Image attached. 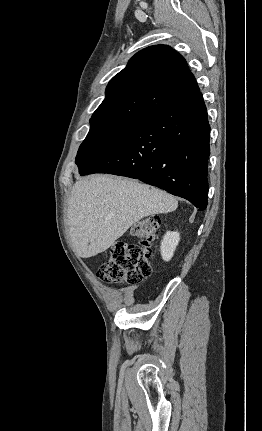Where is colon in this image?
<instances>
[{"mask_svg": "<svg viewBox=\"0 0 262 431\" xmlns=\"http://www.w3.org/2000/svg\"><path fill=\"white\" fill-rule=\"evenodd\" d=\"M159 216H150L133 229L134 242H118L109 259L97 271V277L107 283L136 284L152 273L151 245L157 240Z\"/></svg>", "mask_w": 262, "mask_h": 431, "instance_id": "obj_1", "label": "colon"}]
</instances>
